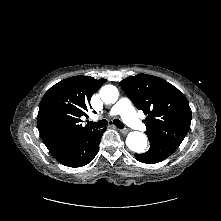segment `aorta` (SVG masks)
Returning <instances> with one entry per match:
<instances>
[{
    "instance_id": "aorta-1",
    "label": "aorta",
    "mask_w": 221,
    "mask_h": 221,
    "mask_svg": "<svg viewBox=\"0 0 221 221\" xmlns=\"http://www.w3.org/2000/svg\"><path fill=\"white\" fill-rule=\"evenodd\" d=\"M118 95V89L113 85H105L100 90V97L107 104L115 103ZM126 145L135 153H144L147 147V137L142 132H130L126 138Z\"/></svg>"
}]
</instances>
